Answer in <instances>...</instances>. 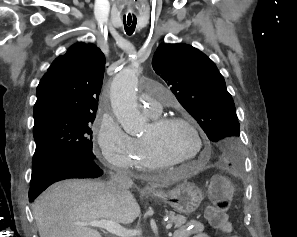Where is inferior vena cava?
I'll return each instance as SVG.
<instances>
[{
  "label": "inferior vena cava",
  "mask_w": 297,
  "mask_h": 237,
  "mask_svg": "<svg viewBox=\"0 0 297 237\" xmlns=\"http://www.w3.org/2000/svg\"><path fill=\"white\" fill-rule=\"evenodd\" d=\"M110 184L116 194L126 196L129 194V188L132 187L133 181L126 173H117L112 176Z\"/></svg>",
  "instance_id": "602c4592"
}]
</instances>
